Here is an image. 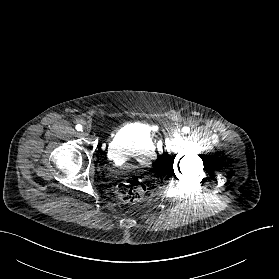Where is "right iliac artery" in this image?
Returning <instances> with one entry per match:
<instances>
[{"label": "right iliac artery", "mask_w": 279, "mask_h": 279, "mask_svg": "<svg viewBox=\"0 0 279 279\" xmlns=\"http://www.w3.org/2000/svg\"><path fill=\"white\" fill-rule=\"evenodd\" d=\"M76 130H77V131H82V126H81V125H79V124H78V125H76Z\"/></svg>", "instance_id": "right-iliac-artery-1"}]
</instances>
